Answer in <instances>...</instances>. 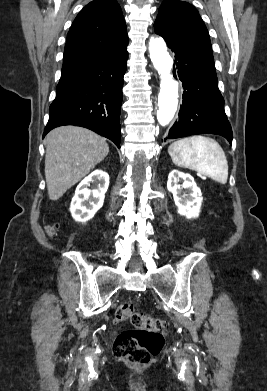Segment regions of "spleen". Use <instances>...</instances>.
I'll return each instance as SVG.
<instances>
[{
  "mask_svg": "<svg viewBox=\"0 0 267 391\" xmlns=\"http://www.w3.org/2000/svg\"><path fill=\"white\" fill-rule=\"evenodd\" d=\"M168 153L175 165L195 170L218 183L226 184L227 158L214 139L201 135L184 138L172 143Z\"/></svg>",
  "mask_w": 267,
  "mask_h": 391,
  "instance_id": "1",
  "label": "spleen"
}]
</instances>
